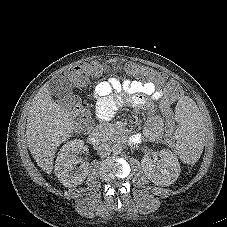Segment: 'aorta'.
Instances as JSON below:
<instances>
[{"label":"aorta","instance_id":"1","mask_svg":"<svg viewBox=\"0 0 227 227\" xmlns=\"http://www.w3.org/2000/svg\"><path fill=\"white\" fill-rule=\"evenodd\" d=\"M121 151H122V146H121V145H119V144H114V145L112 146V152H113L114 154H120Z\"/></svg>","mask_w":227,"mask_h":227}]
</instances>
